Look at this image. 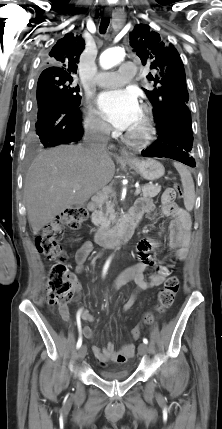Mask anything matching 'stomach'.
<instances>
[{
    "mask_svg": "<svg viewBox=\"0 0 222 429\" xmlns=\"http://www.w3.org/2000/svg\"><path fill=\"white\" fill-rule=\"evenodd\" d=\"M127 164L130 166V168L140 174L141 177L149 181L157 180L165 173L164 166L154 159H135L127 161Z\"/></svg>",
    "mask_w": 222,
    "mask_h": 429,
    "instance_id": "1",
    "label": "stomach"
}]
</instances>
